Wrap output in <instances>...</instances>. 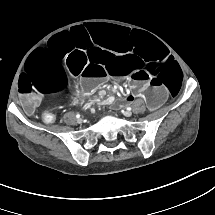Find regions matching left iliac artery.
Masks as SVG:
<instances>
[{"label":"left iliac artery","instance_id":"obj_1","mask_svg":"<svg viewBox=\"0 0 215 215\" xmlns=\"http://www.w3.org/2000/svg\"><path fill=\"white\" fill-rule=\"evenodd\" d=\"M126 109H127V110H131L132 108H131L130 106H128Z\"/></svg>","mask_w":215,"mask_h":215}]
</instances>
